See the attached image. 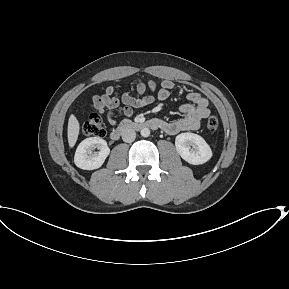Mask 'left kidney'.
I'll return each mask as SVG.
<instances>
[{
	"label": "left kidney",
	"instance_id": "left-kidney-1",
	"mask_svg": "<svg viewBox=\"0 0 289 289\" xmlns=\"http://www.w3.org/2000/svg\"><path fill=\"white\" fill-rule=\"evenodd\" d=\"M175 147L186 162L193 165L204 164L212 157V150L199 135L186 132L176 136Z\"/></svg>",
	"mask_w": 289,
	"mask_h": 289
}]
</instances>
